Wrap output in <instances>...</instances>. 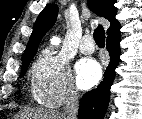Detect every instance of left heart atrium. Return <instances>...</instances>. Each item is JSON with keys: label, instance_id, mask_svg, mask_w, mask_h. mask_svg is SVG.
Instances as JSON below:
<instances>
[{"label": "left heart atrium", "instance_id": "obj_1", "mask_svg": "<svg viewBox=\"0 0 142 119\" xmlns=\"http://www.w3.org/2000/svg\"><path fill=\"white\" fill-rule=\"evenodd\" d=\"M100 65L93 59H83L76 66V80L81 89H89L101 79Z\"/></svg>", "mask_w": 142, "mask_h": 119}]
</instances>
